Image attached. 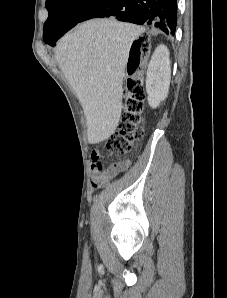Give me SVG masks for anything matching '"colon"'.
<instances>
[{
	"label": "colon",
	"instance_id": "1",
	"mask_svg": "<svg viewBox=\"0 0 227 298\" xmlns=\"http://www.w3.org/2000/svg\"><path fill=\"white\" fill-rule=\"evenodd\" d=\"M147 37H141L135 41L132 54L128 63L129 77L123 88V107L121 123L114 133L106 141L107 150L111 153L127 154L136 148V144L143 136V109L145 89L142 78L133 74L140 64V54L149 49ZM94 153V152H92Z\"/></svg>",
	"mask_w": 227,
	"mask_h": 298
}]
</instances>
